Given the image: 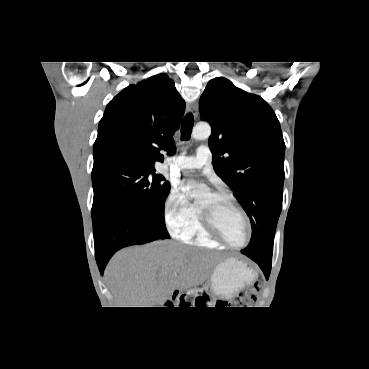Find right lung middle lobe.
I'll return each mask as SVG.
<instances>
[{
    "label": "right lung middle lobe",
    "instance_id": "right-lung-middle-lobe-1",
    "mask_svg": "<svg viewBox=\"0 0 369 369\" xmlns=\"http://www.w3.org/2000/svg\"><path fill=\"white\" fill-rule=\"evenodd\" d=\"M154 168L121 163L93 166V227L110 210L131 209L140 213L162 238H170L164 221V203L170 184Z\"/></svg>",
    "mask_w": 369,
    "mask_h": 369
}]
</instances>
